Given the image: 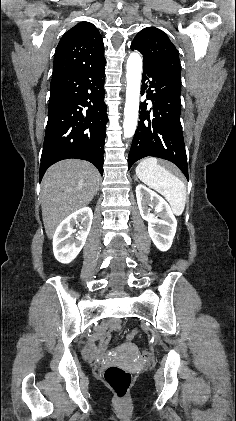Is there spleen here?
I'll return each instance as SVG.
<instances>
[{
  "mask_svg": "<svg viewBox=\"0 0 236 421\" xmlns=\"http://www.w3.org/2000/svg\"><path fill=\"white\" fill-rule=\"evenodd\" d=\"M136 174L140 180L154 188L168 200L171 211L177 217L182 215L186 204V186L175 174L159 164L157 158H142L136 166Z\"/></svg>",
  "mask_w": 236,
  "mask_h": 421,
  "instance_id": "3e777b00",
  "label": "spleen"
}]
</instances>
